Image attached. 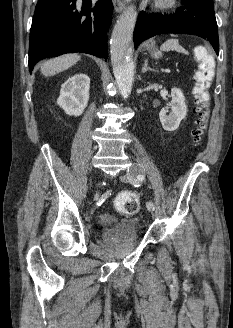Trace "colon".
<instances>
[{"mask_svg": "<svg viewBox=\"0 0 233 328\" xmlns=\"http://www.w3.org/2000/svg\"><path fill=\"white\" fill-rule=\"evenodd\" d=\"M196 56L200 61L199 68L194 76L193 108L199 116V124L193 132L196 142H199L206 130L209 113V88L215 73V60L212 53L205 49H199ZM115 207L123 215H134L140 207L139 196L134 192H122L115 201Z\"/></svg>", "mask_w": 233, "mask_h": 328, "instance_id": "5ec220e1", "label": "colon"}]
</instances>
